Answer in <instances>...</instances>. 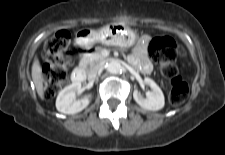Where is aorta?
<instances>
[{"label":"aorta","instance_id":"1","mask_svg":"<svg viewBox=\"0 0 225 155\" xmlns=\"http://www.w3.org/2000/svg\"><path fill=\"white\" fill-rule=\"evenodd\" d=\"M107 71L112 74H118L122 71V65L117 60H112L107 65Z\"/></svg>","mask_w":225,"mask_h":155}]
</instances>
